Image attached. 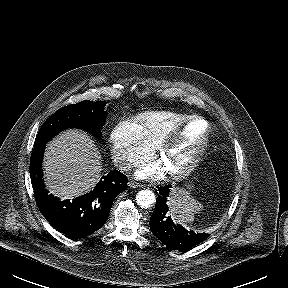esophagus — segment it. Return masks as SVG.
<instances>
[{
  "mask_svg": "<svg viewBox=\"0 0 288 288\" xmlns=\"http://www.w3.org/2000/svg\"><path fill=\"white\" fill-rule=\"evenodd\" d=\"M128 186H129L130 188H138V187H140V184L137 183V182H134V181H129V182H128Z\"/></svg>",
  "mask_w": 288,
  "mask_h": 288,
  "instance_id": "esophagus-1",
  "label": "esophagus"
}]
</instances>
